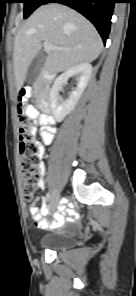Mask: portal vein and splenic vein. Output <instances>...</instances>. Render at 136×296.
I'll return each instance as SVG.
<instances>
[{"label":"portal vein and splenic vein","mask_w":136,"mask_h":296,"mask_svg":"<svg viewBox=\"0 0 136 296\" xmlns=\"http://www.w3.org/2000/svg\"><path fill=\"white\" fill-rule=\"evenodd\" d=\"M43 47H44L45 50H54V49L61 50V48H59V47H55V46H53V45H52L51 43H49V42H44V43H43Z\"/></svg>","instance_id":"obj_1"}]
</instances>
